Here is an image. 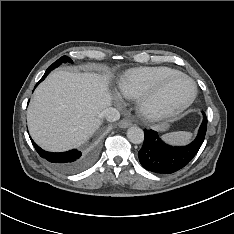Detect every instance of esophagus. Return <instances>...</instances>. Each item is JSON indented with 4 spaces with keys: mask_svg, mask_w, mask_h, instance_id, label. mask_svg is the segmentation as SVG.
Wrapping results in <instances>:
<instances>
[{
    "mask_svg": "<svg viewBox=\"0 0 234 234\" xmlns=\"http://www.w3.org/2000/svg\"><path fill=\"white\" fill-rule=\"evenodd\" d=\"M133 124L132 120L129 118H123L122 120L119 121L118 126L120 128H127Z\"/></svg>",
    "mask_w": 234,
    "mask_h": 234,
    "instance_id": "34e87169",
    "label": "esophagus"
}]
</instances>
